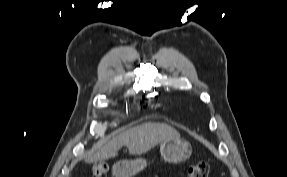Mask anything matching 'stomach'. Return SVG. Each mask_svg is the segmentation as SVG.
<instances>
[{
	"instance_id": "obj_1",
	"label": "stomach",
	"mask_w": 287,
	"mask_h": 177,
	"mask_svg": "<svg viewBox=\"0 0 287 177\" xmlns=\"http://www.w3.org/2000/svg\"><path fill=\"white\" fill-rule=\"evenodd\" d=\"M160 153L165 161L169 163H180L188 160L192 154L189 142L180 138L164 140L160 145ZM147 166L145 159L122 160L113 165L114 177H132L141 172Z\"/></svg>"
}]
</instances>
